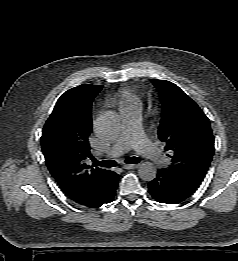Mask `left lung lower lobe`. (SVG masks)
<instances>
[{"label":"left lung lower lobe","instance_id":"left-lung-lower-lobe-1","mask_svg":"<svg viewBox=\"0 0 238 261\" xmlns=\"http://www.w3.org/2000/svg\"><path fill=\"white\" fill-rule=\"evenodd\" d=\"M197 187L172 174L168 169H158L156 177L148 184L150 195L157 201L177 204L189 198Z\"/></svg>","mask_w":238,"mask_h":261}]
</instances>
